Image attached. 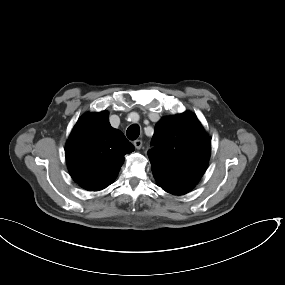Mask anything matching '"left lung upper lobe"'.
Wrapping results in <instances>:
<instances>
[{"mask_svg": "<svg viewBox=\"0 0 285 285\" xmlns=\"http://www.w3.org/2000/svg\"><path fill=\"white\" fill-rule=\"evenodd\" d=\"M152 145V172L176 181L198 183L208 165L211 140L193 113L163 117L155 126Z\"/></svg>", "mask_w": 285, "mask_h": 285, "instance_id": "5c2ea615", "label": "left lung upper lobe"}]
</instances>
